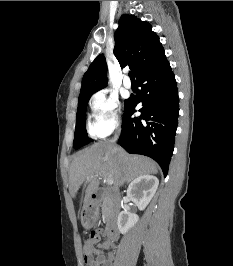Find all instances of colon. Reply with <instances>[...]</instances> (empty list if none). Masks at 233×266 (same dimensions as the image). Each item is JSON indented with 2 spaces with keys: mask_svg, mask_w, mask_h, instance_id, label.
I'll return each mask as SVG.
<instances>
[{
  "mask_svg": "<svg viewBox=\"0 0 233 266\" xmlns=\"http://www.w3.org/2000/svg\"><path fill=\"white\" fill-rule=\"evenodd\" d=\"M103 234L100 231H93L90 233L87 242L91 243V244H96L98 243L101 238H102Z\"/></svg>",
  "mask_w": 233,
  "mask_h": 266,
  "instance_id": "obj_1",
  "label": "colon"
}]
</instances>
